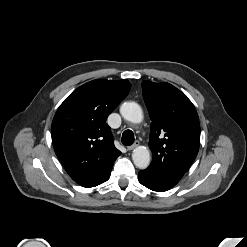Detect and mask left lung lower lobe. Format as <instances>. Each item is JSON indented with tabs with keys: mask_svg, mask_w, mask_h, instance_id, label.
Here are the masks:
<instances>
[{
	"mask_svg": "<svg viewBox=\"0 0 247 247\" xmlns=\"http://www.w3.org/2000/svg\"><path fill=\"white\" fill-rule=\"evenodd\" d=\"M138 180L145 187L157 192L167 191L175 186L160 176L147 170H141L138 173Z\"/></svg>",
	"mask_w": 247,
	"mask_h": 247,
	"instance_id": "1",
	"label": "left lung lower lobe"
}]
</instances>
